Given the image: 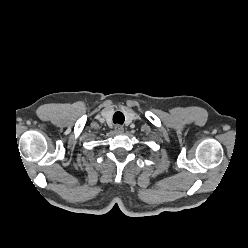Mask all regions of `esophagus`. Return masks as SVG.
Wrapping results in <instances>:
<instances>
[{
    "mask_svg": "<svg viewBox=\"0 0 248 248\" xmlns=\"http://www.w3.org/2000/svg\"><path fill=\"white\" fill-rule=\"evenodd\" d=\"M114 129H115V132H116V133H122V132L124 131L123 126H121V125H119V124L116 125Z\"/></svg>",
    "mask_w": 248,
    "mask_h": 248,
    "instance_id": "obj_1",
    "label": "esophagus"
}]
</instances>
